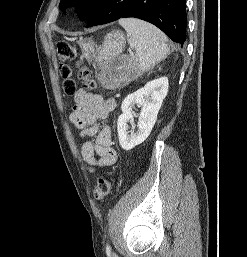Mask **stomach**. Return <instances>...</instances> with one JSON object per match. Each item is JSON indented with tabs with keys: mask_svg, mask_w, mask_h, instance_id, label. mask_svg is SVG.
Segmentation results:
<instances>
[{
	"mask_svg": "<svg viewBox=\"0 0 247 257\" xmlns=\"http://www.w3.org/2000/svg\"><path fill=\"white\" fill-rule=\"evenodd\" d=\"M83 56L92 64L104 66L111 60L121 57L125 36L121 31H112L106 36L105 42L97 46L91 39H81L79 42ZM137 71L136 64L131 61H125L117 68V85L128 81L135 76Z\"/></svg>",
	"mask_w": 247,
	"mask_h": 257,
	"instance_id": "obj_1",
	"label": "stomach"
}]
</instances>
